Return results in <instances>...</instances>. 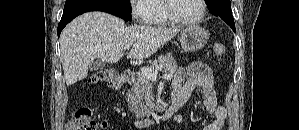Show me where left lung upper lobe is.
<instances>
[{"mask_svg": "<svg viewBox=\"0 0 299 130\" xmlns=\"http://www.w3.org/2000/svg\"><path fill=\"white\" fill-rule=\"evenodd\" d=\"M208 7H215L220 10H231L230 0H205ZM219 1L221 3H219Z\"/></svg>", "mask_w": 299, "mask_h": 130, "instance_id": "1", "label": "left lung upper lobe"}]
</instances>
